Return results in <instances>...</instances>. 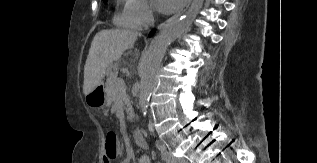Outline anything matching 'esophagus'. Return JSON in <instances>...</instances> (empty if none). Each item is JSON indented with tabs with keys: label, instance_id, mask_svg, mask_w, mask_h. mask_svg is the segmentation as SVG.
<instances>
[{
	"label": "esophagus",
	"instance_id": "esophagus-1",
	"mask_svg": "<svg viewBox=\"0 0 317 163\" xmlns=\"http://www.w3.org/2000/svg\"><path fill=\"white\" fill-rule=\"evenodd\" d=\"M190 3H191V0H186L184 5L180 8V10L176 14H174L172 17H170L169 19L161 23L157 29L162 30L163 28L168 26L170 23H172L174 20H176L180 15H182L187 10Z\"/></svg>",
	"mask_w": 317,
	"mask_h": 163
}]
</instances>
